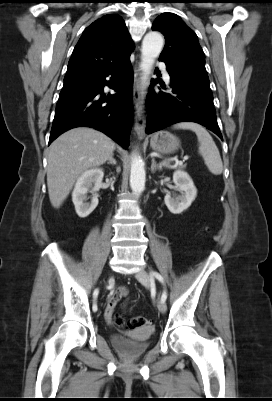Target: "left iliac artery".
I'll use <instances>...</instances> for the list:
<instances>
[{"instance_id": "obj_1", "label": "left iliac artery", "mask_w": 272, "mask_h": 401, "mask_svg": "<svg viewBox=\"0 0 272 401\" xmlns=\"http://www.w3.org/2000/svg\"><path fill=\"white\" fill-rule=\"evenodd\" d=\"M150 275H151V277H155V278L158 279L163 285H165L163 277H162L158 272L151 271V272H150ZM166 299H167V293H166V290H164L163 293H162V296H161V300H162L163 302H165Z\"/></svg>"}]
</instances>
